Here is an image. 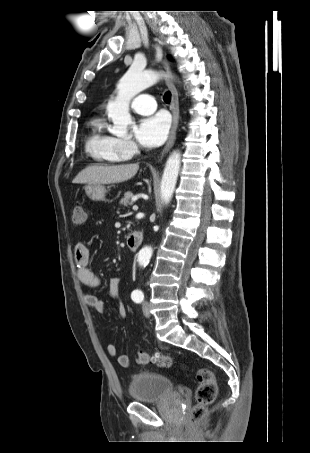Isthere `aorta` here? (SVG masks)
I'll return each instance as SVG.
<instances>
[{
	"label": "aorta",
	"instance_id": "1",
	"mask_svg": "<svg viewBox=\"0 0 310 453\" xmlns=\"http://www.w3.org/2000/svg\"><path fill=\"white\" fill-rule=\"evenodd\" d=\"M161 73L152 70H142L131 66L129 70L120 79L117 85V96L114 101L107 105L108 117L113 122L111 132L117 136L127 134L128 126L132 123L129 113L131 99L144 89L155 84ZM181 165V154L178 151L173 152L165 165L160 194L163 203L168 204L173 196L179 170ZM153 250L151 247H144L138 253V263L140 265L148 264Z\"/></svg>",
	"mask_w": 310,
	"mask_h": 453
}]
</instances>
